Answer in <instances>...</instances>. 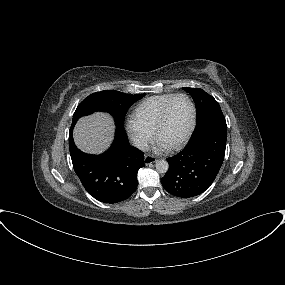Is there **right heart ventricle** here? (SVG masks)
I'll return each mask as SVG.
<instances>
[{"label": "right heart ventricle", "mask_w": 285, "mask_h": 285, "mask_svg": "<svg viewBox=\"0 0 285 285\" xmlns=\"http://www.w3.org/2000/svg\"><path fill=\"white\" fill-rule=\"evenodd\" d=\"M173 95L174 94L157 95L141 101L135 107L132 117L147 128L154 130L164 105Z\"/></svg>", "instance_id": "right-heart-ventricle-1"}]
</instances>
